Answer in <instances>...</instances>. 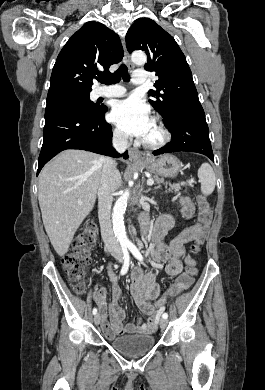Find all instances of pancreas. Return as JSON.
Segmentation results:
<instances>
[{
	"label": "pancreas",
	"mask_w": 265,
	"mask_h": 390,
	"mask_svg": "<svg viewBox=\"0 0 265 390\" xmlns=\"http://www.w3.org/2000/svg\"><path fill=\"white\" fill-rule=\"evenodd\" d=\"M154 180L157 184L164 183V180L158 177H154ZM165 183L169 184V189H168L169 191H175V192L179 191L181 189V185H183V183L182 184H170L168 182Z\"/></svg>",
	"instance_id": "pancreas-1"
}]
</instances>
